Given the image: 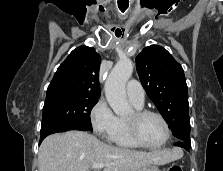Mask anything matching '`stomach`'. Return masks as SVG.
Listing matches in <instances>:
<instances>
[{
  "label": "stomach",
  "instance_id": "1",
  "mask_svg": "<svg viewBox=\"0 0 223 171\" xmlns=\"http://www.w3.org/2000/svg\"><path fill=\"white\" fill-rule=\"evenodd\" d=\"M139 171H160L159 168L153 164L144 166Z\"/></svg>",
  "mask_w": 223,
  "mask_h": 171
}]
</instances>
